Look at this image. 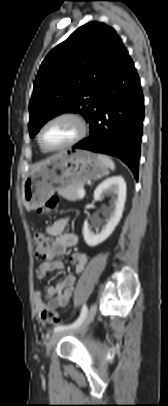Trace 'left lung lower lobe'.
Masks as SVG:
<instances>
[{"label": "left lung lower lobe", "instance_id": "obj_1", "mask_svg": "<svg viewBox=\"0 0 168 406\" xmlns=\"http://www.w3.org/2000/svg\"><path fill=\"white\" fill-rule=\"evenodd\" d=\"M143 119L140 80L124 49L99 90L89 136L73 148L118 157L137 177Z\"/></svg>", "mask_w": 168, "mask_h": 406}]
</instances>
